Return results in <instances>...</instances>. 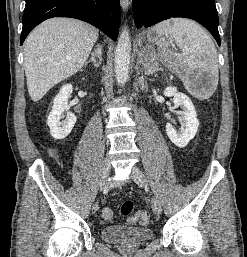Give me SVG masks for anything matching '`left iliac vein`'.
<instances>
[{
  "label": "left iliac vein",
  "instance_id": "4c4485c4",
  "mask_svg": "<svg viewBox=\"0 0 247 257\" xmlns=\"http://www.w3.org/2000/svg\"><path fill=\"white\" fill-rule=\"evenodd\" d=\"M132 178L135 181V183L141 187L146 186L148 184L146 176L137 167L132 168ZM152 208L157 215H160L162 213V205L157 197H153L152 199Z\"/></svg>",
  "mask_w": 247,
  "mask_h": 257
}]
</instances>
